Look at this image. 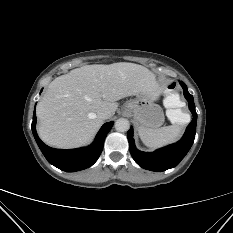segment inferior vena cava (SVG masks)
<instances>
[{
	"mask_svg": "<svg viewBox=\"0 0 233 233\" xmlns=\"http://www.w3.org/2000/svg\"><path fill=\"white\" fill-rule=\"evenodd\" d=\"M98 116L101 118V119H108L112 116V113L108 110V109H102L98 112Z\"/></svg>",
	"mask_w": 233,
	"mask_h": 233,
	"instance_id": "obj_1",
	"label": "inferior vena cava"
}]
</instances>
